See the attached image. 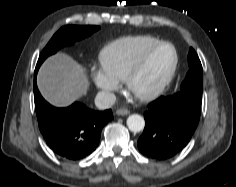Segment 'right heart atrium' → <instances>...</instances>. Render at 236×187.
Listing matches in <instances>:
<instances>
[{"mask_svg":"<svg viewBox=\"0 0 236 187\" xmlns=\"http://www.w3.org/2000/svg\"><path fill=\"white\" fill-rule=\"evenodd\" d=\"M90 75L94 84L102 91L103 95L109 100L113 99L115 92L120 87L119 80L100 66H92L90 68Z\"/></svg>","mask_w":236,"mask_h":187,"instance_id":"1","label":"right heart atrium"}]
</instances>
